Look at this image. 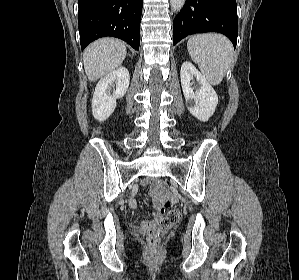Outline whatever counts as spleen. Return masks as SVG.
<instances>
[{
    "label": "spleen",
    "mask_w": 299,
    "mask_h": 280,
    "mask_svg": "<svg viewBox=\"0 0 299 280\" xmlns=\"http://www.w3.org/2000/svg\"><path fill=\"white\" fill-rule=\"evenodd\" d=\"M187 49L205 79L212 85L221 83L233 61L234 49L229 39L216 33L194 35L189 38Z\"/></svg>",
    "instance_id": "3e777b00"
}]
</instances>
